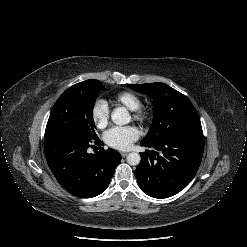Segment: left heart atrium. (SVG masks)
<instances>
[{"instance_id":"1","label":"left heart atrium","mask_w":247,"mask_h":247,"mask_svg":"<svg viewBox=\"0 0 247 247\" xmlns=\"http://www.w3.org/2000/svg\"><path fill=\"white\" fill-rule=\"evenodd\" d=\"M139 137L138 130L133 126L112 127L104 134V140L112 148L128 149Z\"/></svg>"}]
</instances>
